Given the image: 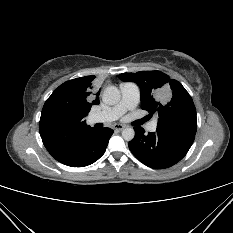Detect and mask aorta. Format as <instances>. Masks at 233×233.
Returning a JSON list of instances; mask_svg holds the SVG:
<instances>
[{
    "instance_id": "aorta-1",
    "label": "aorta",
    "mask_w": 233,
    "mask_h": 233,
    "mask_svg": "<svg viewBox=\"0 0 233 233\" xmlns=\"http://www.w3.org/2000/svg\"><path fill=\"white\" fill-rule=\"evenodd\" d=\"M121 94L117 87L108 86L103 91V102L108 105H115L120 101ZM135 136V132L133 128H125L122 131V137L126 141H131Z\"/></svg>"
}]
</instances>
